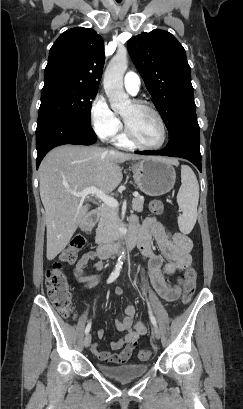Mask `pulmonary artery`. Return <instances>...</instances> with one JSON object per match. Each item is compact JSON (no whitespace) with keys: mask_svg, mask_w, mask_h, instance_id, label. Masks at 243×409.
I'll list each match as a JSON object with an SVG mask.
<instances>
[{"mask_svg":"<svg viewBox=\"0 0 243 409\" xmlns=\"http://www.w3.org/2000/svg\"><path fill=\"white\" fill-rule=\"evenodd\" d=\"M140 76L135 72H127L124 77V87L132 95H136L140 89Z\"/></svg>","mask_w":243,"mask_h":409,"instance_id":"obj_1","label":"pulmonary artery"}]
</instances>
